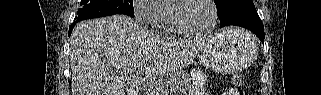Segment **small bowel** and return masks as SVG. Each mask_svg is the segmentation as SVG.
<instances>
[{
    "mask_svg": "<svg viewBox=\"0 0 321 95\" xmlns=\"http://www.w3.org/2000/svg\"><path fill=\"white\" fill-rule=\"evenodd\" d=\"M238 92L236 89L232 87L226 88L224 91H222L221 95H237Z\"/></svg>",
    "mask_w": 321,
    "mask_h": 95,
    "instance_id": "small-bowel-1",
    "label": "small bowel"
}]
</instances>
